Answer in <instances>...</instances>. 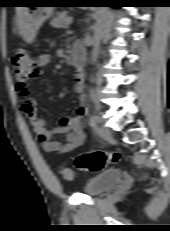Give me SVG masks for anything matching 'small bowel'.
Returning a JSON list of instances; mask_svg holds the SVG:
<instances>
[{"instance_id": "small-bowel-1", "label": "small bowel", "mask_w": 170, "mask_h": 231, "mask_svg": "<svg viewBox=\"0 0 170 231\" xmlns=\"http://www.w3.org/2000/svg\"><path fill=\"white\" fill-rule=\"evenodd\" d=\"M50 63L49 55H41L37 58V74L40 76ZM76 84L74 91L78 94L80 104L74 117L62 118L59 125L55 128H49L48 122L37 114V100L31 95L28 84L17 83L16 91L22 97V112L29 119L32 128L41 144L42 150L50 155H59L70 153L80 147L84 140L85 134L82 128V118L86 113L84 107V74L78 71L75 74ZM65 135L64 141L53 139L55 135Z\"/></svg>"}]
</instances>
